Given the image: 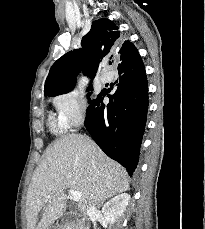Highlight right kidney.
<instances>
[{"label":"right kidney","instance_id":"right-kidney-1","mask_svg":"<svg viewBox=\"0 0 205 229\" xmlns=\"http://www.w3.org/2000/svg\"><path fill=\"white\" fill-rule=\"evenodd\" d=\"M130 195L122 193L104 204L102 213L107 223L114 224L116 220L124 214L126 207L130 202Z\"/></svg>","mask_w":205,"mask_h":229}]
</instances>
